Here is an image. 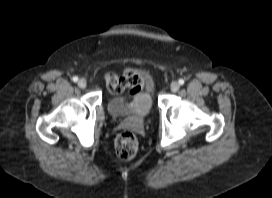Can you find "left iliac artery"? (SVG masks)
<instances>
[{
  "label": "left iliac artery",
  "instance_id": "left-iliac-artery-1",
  "mask_svg": "<svg viewBox=\"0 0 272 198\" xmlns=\"http://www.w3.org/2000/svg\"><path fill=\"white\" fill-rule=\"evenodd\" d=\"M178 82H179L180 85L184 84V80L183 79H180Z\"/></svg>",
  "mask_w": 272,
  "mask_h": 198
}]
</instances>
